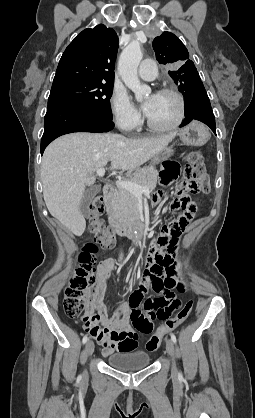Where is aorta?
Listing matches in <instances>:
<instances>
[{
    "label": "aorta",
    "mask_w": 255,
    "mask_h": 418,
    "mask_svg": "<svg viewBox=\"0 0 255 418\" xmlns=\"http://www.w3.org/2000/svg\"><path fill=\"white\" fill-rule=\"evenodd\" d=\"M142 56L140 43L133 41L121 53L118 67L123 82L134 92L137 101H142L144 97L151 93V88L148 85L141 84L137 74ZM134 234L138 242L137 230L134 231Z\"/></svg>",
    "instance_id": "aorta-1"
}]
</instances>
